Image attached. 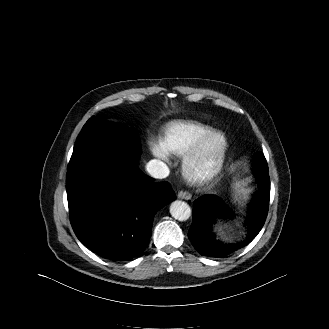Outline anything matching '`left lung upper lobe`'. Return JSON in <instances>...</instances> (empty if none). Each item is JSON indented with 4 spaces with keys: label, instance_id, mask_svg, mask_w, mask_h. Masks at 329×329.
I'll return each instance as SVG.
<instances>
[{
    "label": "left lung upper lobe",
    "instance_id": "obj_1",
    "mask_svg": "<svg viewBox=\"0 0 329 329\" xmlns=\"http://www.w3.org/2000/svg\"><path fill=\"white\" fill-rule=\"evenodd\" d=\"M257 161H261V162H263V161H266V159L264 158V157H260Z\"/></svg>",
    "mask_w": 329,
    "mask_h": 329
}]
</instances>
